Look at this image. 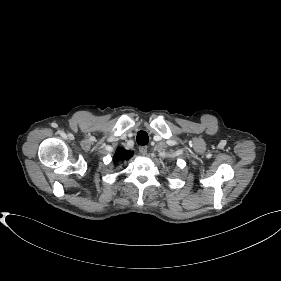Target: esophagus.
<instances>
[{
  "mask_svg": "<svg viewBox=\"0 0 281 281\" xmlns=\"http://www.w3.org/2000/svg\"><path fill=\"white\" fill-rule=\"evenodd\" d=\"M147 146H140L139 147V152L142 154V155H146L147 154Z\"/></svg>",
  "mask_w": 281,
  "mask_h": 281,
  "instance_id": "esophagus-1",
  "label": "esophagus"
}]
</instances>
